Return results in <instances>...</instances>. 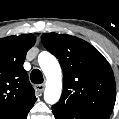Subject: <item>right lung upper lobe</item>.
I'll return each instance as SVG.
<instances>
[{
    "label": "right lung upper lobe",
    "instance_id": "obj_1",
    "mask_svg": "<svg viewBox=\"0 0 119 119\" xmlns=\"http://www.w3.org/2000/svg\"><path fill=\"white\" fill-rule=\"evenodd\" d=\"M35 41L33 34L0 39V118L10 119L36 101L23 68L26 53Z\"/></svg>",
    "mask_w": 119,
    "mask_h": 119
}]
</instances>
